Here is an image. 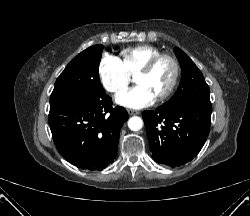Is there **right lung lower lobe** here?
<instances>
[{"label": "right lung lower lobe", "instance_id": "right-lung-lower-lobe-1", "mask_svg": "<svg viewBox=\"0 0 250 216\" xmlns=\"http://www.w3.org/2000/svg\"><path fill=\"white\" fill-rule=\"evenodd\" d=\"M127 111L112 107V99L76 96L50 108L49 125L58 152L71 164L103 170L117 154L120 130Z\"/></svg>", "mask_w": 250, "mask_h": 216}]
</instances>
